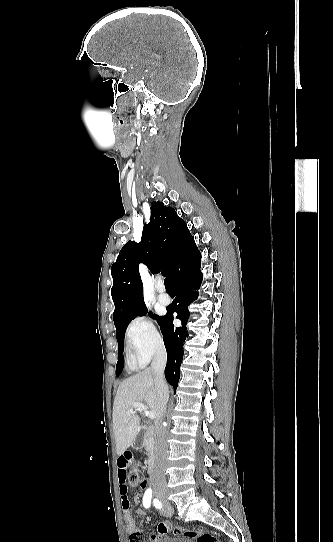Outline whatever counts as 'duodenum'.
Instances as JSON below:
<instances>
[{
	"instance_id": "duodenum-1",
	"label": "duodenum",
	"mask_w": 333,
	"mask_h": 542,
	"mask_svg": "<svg viewBox=\"0 0 333 542\" xmlns=\"http://www.w3.org/2000/svg\"><path fill=\"white\" fill-rule=\"evenodd\" d=\"M152 444V435L149 431L145 430L142 434L136 436L132 441V446L135 448H142L145 445ZM156 458L151 455L147 463V471L149 474H153L155 471Z\"/></svg>"
}]
</instances>
